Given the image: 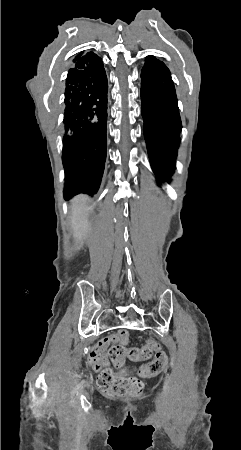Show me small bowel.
<instances>
[{
	"label": "small bowel",
	"instance_id": "c3829d8e",
	"mask_svg": "<svg viewBox=\"0 0 241 450\" xmlns=\"http://www.w3.org/2000/svg\"><path fill=\"white\" fill-rule=\"evenodd\" d=\"M129 340V333L126 329L122 328L118 334L111 335L109 338L101 340L89 353L88 363L94 367L95 370H99L102 366L109 364V356L106 353L108 346L114 342H120L121 345H127Z\"/></svg>",
	"mask_w": 241,
	"mask_h": 450
}]
</instances>
